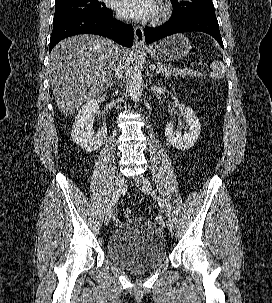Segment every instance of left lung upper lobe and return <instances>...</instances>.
I'll list each match as a JSON object with an SVG mask.
<instances>
[{
	"label": "left lung upper lobe",
	"mask_w": 272,
	"mask_h": 303,
	"mask_svg": "<svg viewBox=\"0 0 272 303\" xmlns=\"http://www.w3.org/2000/svg\"><path fill=\"white\" fill-rule=\"evenodd\" d=\"M174 12L172 18L186 15L215 14L212 0H171Z\"/></svg>",
	"instance_id": "5c2ea615"
}]
</instances>
